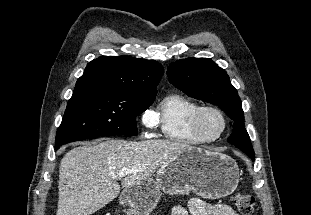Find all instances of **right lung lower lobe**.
I'll return each instance as SVG.
<instances>
[{"instance_id": "1", "label": "right lung lower lobe", "mask_w": 311, "mask_h": 215, "mask_svg": "<svg viewBox=\"0 0 311 215\" xmlns=\"http://www.w3.org/2000/svg\"><path fill=\"white\" fill-rule=\"evenodd\" d=\"M60 146L55 147V150L59 149Z\"/></svg>"}]
</instances>
